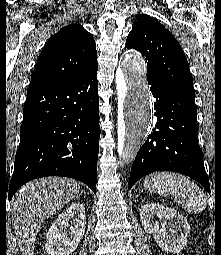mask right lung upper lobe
<instances>
[{"label": "right lung upper lobe", "instance_id": "right-lung-upper-lobe-1", "mask_svg": "<svg viewBox=\"0 0 221 255\" xmlns=\"http://www.w3.org/2000/svg\"><path fill=\"white\" fill-rule=\"evenodd\" d=\"M98 65L93 36L79 24H69L44 46L31 76L29 90L74 78Z\"/></svg>", "mask_w": 221, "mask_h": 255}]
</instances>
